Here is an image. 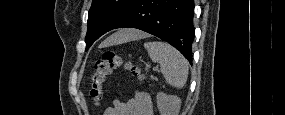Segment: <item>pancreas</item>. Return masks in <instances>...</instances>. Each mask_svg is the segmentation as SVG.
Returning <instances> with one entry per match:
<instances>
[{
    "label": "pancreas",
    "instance_id": "obj_1",
    "mask_svg": "<svg viewBox=\"0 0 285 115\" xmlns=\"http://www.w3.org/2000/svg\"><path fill=\"white\" fill-rule=\"evenodd\" d=\"M152 79L157 81V78H156V77H152Z\"/></svg>",
    "mask_w": 285,
    "mask_h": 115
}]
</instances>
